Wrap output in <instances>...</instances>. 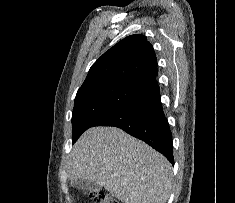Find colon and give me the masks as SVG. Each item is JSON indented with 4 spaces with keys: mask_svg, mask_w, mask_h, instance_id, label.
<instances>
[{
    "mask_svg": "<svg viewBox=\"0 0 235 203\" xmlns=\"http://www.w3.org/2000/svg\"><path fill=\"white\" fill-rule=\"evenodd\" d=\"M93 203H119L114 197L110 194L101 191L95 190L89 193Z\"/></svg>",
    "mask_w": 235,
    "mask_h": 203,
    "instance_id": "1",
    "label": "colon"
}]
</instances>
